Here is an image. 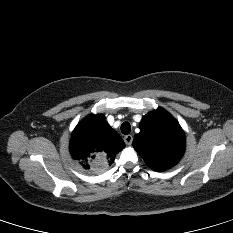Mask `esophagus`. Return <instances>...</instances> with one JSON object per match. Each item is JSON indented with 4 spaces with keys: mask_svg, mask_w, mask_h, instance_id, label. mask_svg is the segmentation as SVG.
I'll use <instances>...</instances> for the list:
<instances>
[{
    "mask_svg": "<svg viewBox=\"0 0 233 233\" xmlns=\"http://www.w3.org/2000/svg\"><path fill=\"white\" fill-rule=\"evenodd\" d=\"M124 141H125V143H126L127 145H131V144H132V141H133L132 135H126V136L124 137Z\"/></svg>",
    "mask_w": 233,
    "mask_h": 233,
    "instance_id": "34e87169",
    "label": "esophagus"
}]
</instances>
